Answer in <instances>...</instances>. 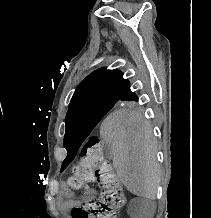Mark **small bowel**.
<instances>
[{"label":"small bowel","mask_w":211,"mask_h":218,"mask_svg":"<svg viewBox=\"0 0 211 218\" xmlns=\"http://www.w3.org/2000/svg\"><path fill=\"white\" fill-rule=\"evenodd\" d=\"M91 196V192H88L85 196V199H89ZM58 201L62 205V207L69 209L73 208L77 205V201L75 200L74 193L66 186L63 185L61 187L60 195L58 196Z\"/></svg>","instance_id":"obj_1"}]
</instances>
